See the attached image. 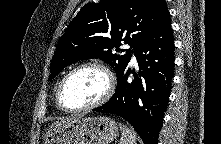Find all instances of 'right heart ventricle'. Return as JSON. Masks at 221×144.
<instances>
[{
	"instance_id": "obj_1",
	"label": "right heart ventricle",
	"mask_w": 221,
	"mask_h": 144,
	"mask_svg": "<svg viewBox=\"0 0 221 144\" xmlns=\"http://www.w3.org/2000/svg\"><path fill=\"white\" fill-rule=\"evenodd\" d=\"M56 96H57V90L55 92V101H56V106L59 108L58 104H57V99H56ZM60 109V108H59Z\"/></svg>"
}]
</instances>
